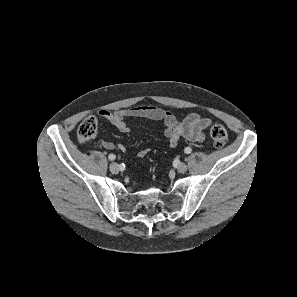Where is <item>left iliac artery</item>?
Listing matches in <instances>:
<instances>
[{
	"label": "left iliac artery",
	"instance_id": "44dca946",
	"mask_svg": "<svg viewBox=\"0 0 297 297\" xmlns=\"http://www.w3.org/2000/svg\"><path fill=\"white\" fill-rule=\"evenodd\" d=\"M191 151H192V149H191L190 147H186L185 150H184V152H185L186 154L191 153Z\"/></svg>",
	"mask_w": 297,
	"mask_h": 297
}]
</instances>
